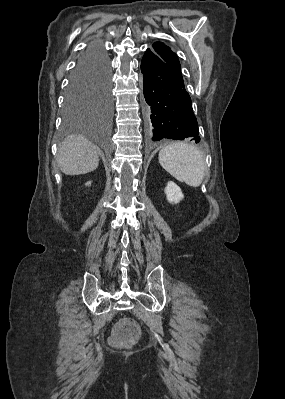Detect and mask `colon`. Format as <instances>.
<instances>
[{
    "instance_id": "obj_1",
    "label": "colon",
    "mask_w": 285,
    "mask_h": 399,
    "mask_svg": "<svg viewBox=\"0 0 285 399\" xmlns=\"http://www.w3.org/2000/svg\"><path fill=\"white\" fill-rule=\"evenodd\" d=\"M140 335V329L135 322L122 321L115 326L111 342L116 345H131L138 340Z\"/></svg>"
}]
</instances>
